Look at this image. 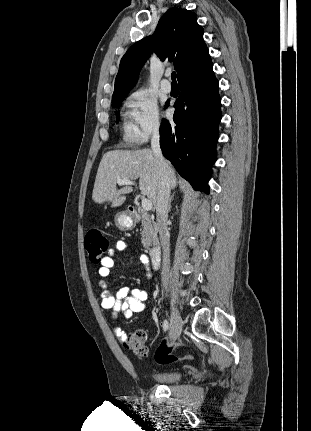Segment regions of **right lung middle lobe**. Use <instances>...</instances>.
<instances>
[{
    "label": "right lung middle lobe",
    "instance_id": "right-lung-middle-lobe-1",
    "mask_svg": "<svg viewBox=\"0 0 311 431\" xmlns=\"http://www.w3.org/2000/svg\"><path fill=\"white\" fill-rule=\"evenodd\" d=\"M126 96H120L112 99V107L113 108H119L121 105V102L124 100ZM119 120V112L117 113V121Z\"/></svg>",
    "mask_w": 311,
    "mask_h": 431
}]
</instances>
